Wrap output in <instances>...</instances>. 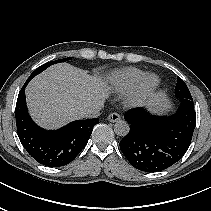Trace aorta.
Wrapping results in <instances>:
<instances>
[{"label": "aorta", "mask_w": 211, "mask_h": 211, "mask_svg": "<svg viewBox=\"0 0 211 211\" xmlns=\"http://www.w3.org/2000/svg\"><path fill=\"white\" fill-rule=\"evenodd\" d=\"M114 132L118 136H126L129 132V124L126 121H117L114 125Z\"/></svg>", "instance_id": "aorta-1"}]
</instances>
